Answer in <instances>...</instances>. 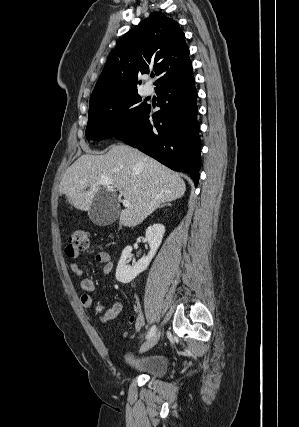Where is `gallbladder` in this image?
<instances>
[{"instance_id":"gallbladder-1","label":"gallbladder","mask_w":299,"mask_h":427,"mask_svg":"<svg viewBox=\"0 0 299 427\" xmlns=\"http://www.w3.org/2000/svg\"><path fill=\"white\" fill-rule=\"evenodd\" d=\"M119 213L115 194L101 189L93 198L88 216L95 225L106 226L114 223Z\"/></svg>"}]
</instances>
